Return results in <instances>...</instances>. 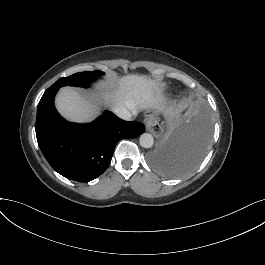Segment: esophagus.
<instances>
[{
  "mask_svg": "<svg viewBox=\"0 0 265 265\" xmlns=\"http://www.w3.org/2000/svg\"><path fill=\"white\" fill-rule=\"evenodd\" d=\"M146 129L155 137H160L163 134V128L152 116H149L146 119Z\"/></svg>",
  "mask_w": 265,
  "mask_h": 265,
  "instance_id": "esophagus-1",
  "label": "esophagus"
}]
</instances>
